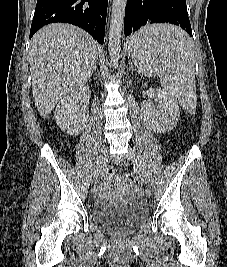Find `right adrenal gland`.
<instances>
[{"mask_svg":"<svg viewBox=\"0 0 227 267\" xmlns=\"http://www.w3.org/2000/svg\"><path fill=\"white\" fill-rule=\"evenodd\" d=\"M95 72H96V63H95V65H94V67H93V69H92V71H91V74H90L89 77H88V80H89V81H91V77H92L93 73H95Z\"/></svg>","mask_w":227,"mask_h":267,"instance_id":"2a0ac1e0","label":"right adrenal gland"}]
</instances>
